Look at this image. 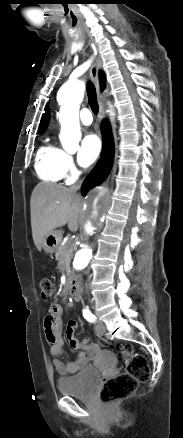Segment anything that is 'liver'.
I'll use <instances>...</instances> for the list:
<instances>
[{
    "label": "liver",
    "mask_w": 183,
    "mask_h": 438,
    "mask_svg": "<svg viewBox=\"0 0 183 438\" xmlns=\"http://www.w3.org/2000/svg\"><path fill=\"white\" fill-rule=\"evenodd\" d=\"M30 206L32 236L39 250L54 229L66 224L71 231L78 228L82 200L71 188L41 182L32 192Z\"/></svg>",
    "instance_id": "1"
}]
</instances>
